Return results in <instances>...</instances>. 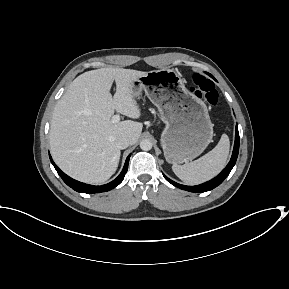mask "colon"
Returning a JSON list of instances; mask_svg holds the SVG:
<instances>
[{
	"mask_svg": "<svg viewBox=\"0 0 289 289\" xmlns=\"http://www.w3.org/2000/svg\"><path fill=\"white\" fill-rule=\"evenodd\" d=\"M190 90L197 97L204 99L210 107H214L217 104L218 93L215 85L204 74L195 73L192 75Z\"/></svg>",
	"mask_w": 289,
	"mask_h": 289,
	"instance_id": "5ec220e1",
	"label": "colon"
}]
</instances>
